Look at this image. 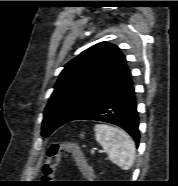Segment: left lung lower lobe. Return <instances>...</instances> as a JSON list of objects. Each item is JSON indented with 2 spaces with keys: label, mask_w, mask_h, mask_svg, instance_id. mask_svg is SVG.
I'll use <instances>...</instances> for the list:
<instances>
[{
  "label": "left lung lower lobe",
  "mask_w": 178,
  "mask_h": 186,
  "mask_svg": "<svg viewBox=\"0 0 178 186\" xmlns=\"http://www.w3.org/2000/svg\"><path fill=\"white\" fill-rule=\"evenodd\" d=\"M73 120H96L115 124L139 143V116L135 88L130 79L111 94L82 111Z\"/></svg>",
  "instance_id": "obj_1"
}]
</instances>
